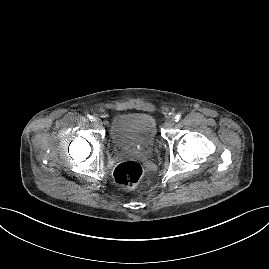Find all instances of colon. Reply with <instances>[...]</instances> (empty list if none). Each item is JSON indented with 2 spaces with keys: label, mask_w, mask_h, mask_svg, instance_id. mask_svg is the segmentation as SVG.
<instances>
[{
  "label": "colon",
  "mask_w": 269,
  "mask_h": 269,
  "mask_svg": "<svg viewBox=\"0 0 269 269\" xmlns=\"http://www.w3.org/2000/svg\"><path fill=\"white\" fill-rule=\"evenodd\" d=\"M114 179L120 186L132 189L145 180V171L136 161H124L116 165Z\"/></svg>",
  "instance_id": "colon-1"
}]
</instances>
